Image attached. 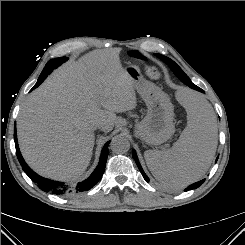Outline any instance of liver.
Returning <instances> with one entry per match:
<instances>
[{
	"mask_svg": "<svg viewBox=\"0 0 245 245\" xmlns=\"http://www.w3.org/2000/svg\"><path fill=\"white\" fill-rule=\"evenodd\" d=\"M121 48L94 50L56 70L23 103L17 120L21 153L38 174L75 180L89 165L95 126L110 132L116 113L137 106Z\"/></svg>",
	"mask_w": 245,
	"mask_h": 245,
	"instance_id": "liver-1",
	"label": "liver"
}]
</instances>
